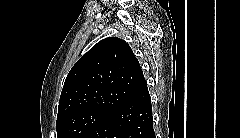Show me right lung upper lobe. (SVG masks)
<instances>
[{
  "instance_id": "1",
  "label": "right lung upper lobe",
  "mask_w": 240,
  "mask_h": 138,
  "mask_svg": "<svg viewBox=\"0 0 240 138\" xmlns=\"http://www.w3.org/2000/svg\"><path fill=\"white\" fill-rule=\"evenodd\" d=\"M146 88L142 69L130 46L117 37L103 39L67 75L57 119L89 109L108 112Z\"/></svg>"
}]
</instances>
